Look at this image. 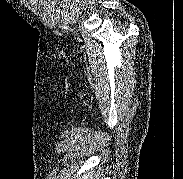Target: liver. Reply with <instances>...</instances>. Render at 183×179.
<instances>
[{
  "label": "liver",
  "instance_id": "liver-1",
  "mask_svg": "<svg viewBox=\"0 0 183 179\" xmlns=\"http://www.w3.org/2000/svg\"><path fill=\"white\" fill-rule=\"evenodd\" d=\"M80 179H94L93 172H86Z\"/></svg>",
  "mask_w": 183,
  "mask_h": 179
}]
</instances>
